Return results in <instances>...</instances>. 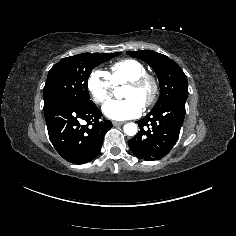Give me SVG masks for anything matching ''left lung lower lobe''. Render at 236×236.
I'll return each mask as SVG.
<instances>
[{
	"mask_svg": "<svg viewBox=\"0 0 236 236\" xmlns=\"http://www.w3.org/2000/svg\"><path fill=\"white\" fill-rule=\"evenodd\" d=\"M186 99L175 98L137 121L140 131L128 141L136 157L146 161L160 160L170 152L185 118Z\"/></svg>",
	"mask_w": 236,
	"mask_h": 236,
	"instance_id": "0a47b994",
	"label": "left lung lower lobe"
}]
</instances>
